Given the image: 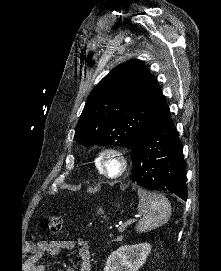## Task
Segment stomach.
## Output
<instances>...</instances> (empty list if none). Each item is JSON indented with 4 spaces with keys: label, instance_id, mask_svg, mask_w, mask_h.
<instances>
[{
    "label": "stomach",
    "instance_id": "stomach-1",
    "mask_svg": "<svg viewBox=\"0 0 221 271\" xmlns=\"http://www.w3.org/2000/svg\"><path fill=\"white\" fill-rule=\"evenodd\" d=\"M98 213H104V211H103L102 207H99V211H98Z\"/></svg>",
    "mask_w": 221,
    "mask_h": 271
}]
</instances>
